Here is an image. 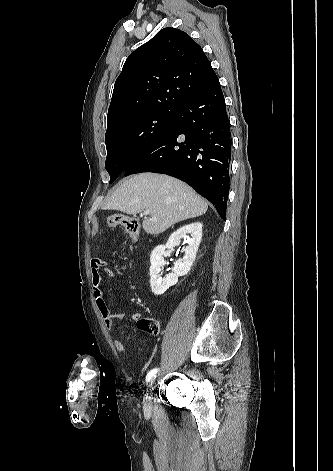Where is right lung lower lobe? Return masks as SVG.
Wrapping results in <instances>:
<instances>
[{
  "mask_svg": "<svg viewBox=\"0 0 333 471\" xmlns=\"http://www.w3.org/2000/svg\"><path fill=\"white\" fill-rule=\"evenodd\" d=\"M231 133L219 80L183 104L173 124L125 171L176 177L215 205L225 220Z\"/></svg>",
  "mask_w": 333,
  "mask_h": 471,
  "instance_id": "98d812e1",
  "label": "right lung lower lobe"
}]
</instances>
